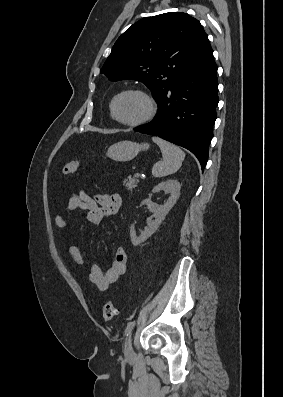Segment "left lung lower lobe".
<instances>
[{"instance_id":"1","label":"left lung lower lobe","mask_w":283,"mask_h":397,"mask_svg":"<svg viewBox=\"0 0 283 397\" xmlns=\"http://www.w3.org/2000/svg\"><path fill=\"white\" fill-rule=\"evenodd\" d=\"M217 87V65L210 48L187 66L164 93L154 120L134 131L159 136L188 149L204 170L219 102Z\"/></svg>"}]
</instances>
